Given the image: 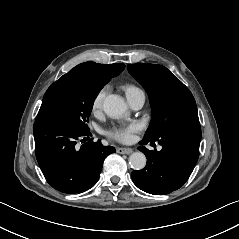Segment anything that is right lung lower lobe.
<instances>
[{"label": "right lung lower lobe", "instance_id": "right-lung-lower-lobe-1", "mask_svg": "<svg viewBox=\"0 0 239 239\" xmlns=\"http://www.w3.org/2000/svg\"><path fill=\"white\" fill-rule=\"evenodd\" d=\"M35 152L47 182L56 190L75 194L92 188L99 179L104 159L116 152L101 141L89 139L88 130H78L59 119L35 121ZM78 150L77 140H86Z\"/></svg>", "mask_w": 239, "mask_h": 239}]
</instances>
